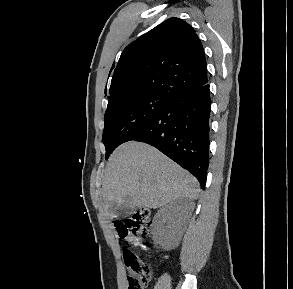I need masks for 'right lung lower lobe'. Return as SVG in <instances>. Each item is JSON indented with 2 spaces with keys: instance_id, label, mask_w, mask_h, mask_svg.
I'll use <instances>...</instances> for the list:
<instances>
[{
  "instance_id": "1",
  "label": "right lung lower lobe",
  "mask_w": 293,
  "mask_h": 289,
  "mask_svg": "<svg viewBox=\"0 0 293 289\" xmlns=\"http://www.w3.org/2000/svg\"><path fill=\"white\" fill-rule=\"evenodd\" d=\"M210 90L201 88L171 100L128 139L148 143L194 175L204 188L209 164Z\"/></svg>"
}]
</instances>
